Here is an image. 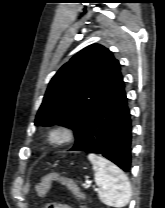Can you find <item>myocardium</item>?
Here are the masks:
<instances>
[{
    "label": "myocardium",
    "mask_w": 165,
    "mask_h": 208,
    "mask_svg": "<svg viewBox=\"0 0 165 208\" xmlns=\"http://www.w3.org/2000/svg\"><path fill=\"white\" fill-rule=\"evenodd\" d=\"M76 133L73 128L68 125L58 124L48 129L45 140L47 145L53 148L62 147L74 142Z\"/></svg>",
    "instance_id": "1"
}]
</instances>
